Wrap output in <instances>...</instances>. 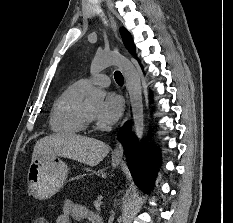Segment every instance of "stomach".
<instances>
[{"label": "stomach", "mask_w": 233, "mask_h": 223, "mask_svg": "<svg viewBox=\"0 0 233 223\" xmlns=\"http://www.w3.org/2000/svg\"><path fill=\"white\" fill-rule=\"evenodd\" d=\"M112 163L116 167L120 159H113ZM68 173V165L59 155L41 153L29 165L28 189L35 199H49L64 185Z\"/></svg>", "instance_id": "0dacf381"}]
</instances>
